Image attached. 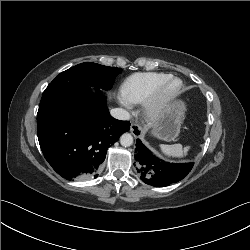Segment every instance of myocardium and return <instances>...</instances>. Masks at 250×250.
I'll return each mask as SVG.
<instances>
[{
    "label": "myocardium",
    "instance_id": "myocardium-1",
    "mask_svg": "<svg viewBox=\"0 0 250 250\" xmlns=\"http://www.w3.org/2000/svg\"><path fill=\"white\" fill-rule=\"evenodd\" d=\"M173 83H177L175 88H171ZM182 87L181 79L173 76L159 83L143 102L146 118L151 121L159 120L170 104L179 96Z\"/></svg>",
    "mask_w": 250,
    "mask_h": 250
}]
</instances>
